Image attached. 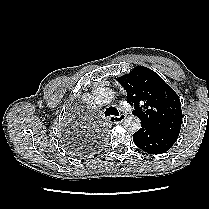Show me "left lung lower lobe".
<instances>
[{
    "instance_id": "1",
    "label": "left lung lower lobe",
    "mask_w": 209,
    "mask_h": 209,
    "mask_svg": "<svg viewBox=\"0 0 209 209\" xmlns=\"http://www.w3.org/2000/svg\"><path fill=\"white\" fill-rule=\"evenodd\" d=\"M178 136L152 129L141 125V128L133 134L134 143L143 151L150 154H162L169 150L176 142Z\"/></svg>"
}]
</instances>
